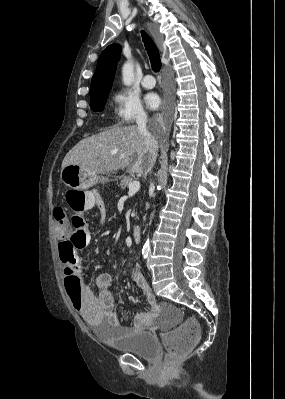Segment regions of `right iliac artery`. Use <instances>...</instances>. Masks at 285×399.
<instances>
[{"instance_id":"obj_1","label":"right iliac artery","mask_w":285,"mask_h":399,"mask_svg":"<svg viewBox=\"0 0 285 399\" xmlns=\"http://www.w3.org/2000/svg\"><path fill=\"white\" fill-rule=\"evenodd\" d=\"M149 251H150L149 248H147V247L143 248L142 254H143L144 259H147L148 255H149Z\"/></svg>"}]
</instances>
